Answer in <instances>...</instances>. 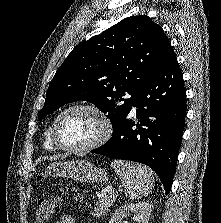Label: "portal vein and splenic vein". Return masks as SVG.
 <instances>
[{"instance_id":"obj_1","label":"portal vein and splenic vein","mask_w":221,"mask_h":223,"mask_svg":"<svg viewBox=\"0 0 221 223\" xmlns=\"http://www.w3.org/2000/svg\"><path fill=\"white\" fill-rule=\"evenodd\" d=\"M106 192H108V193H114V189L113 188H108V189H106L104 191V193H106Z\"/></svg>"}]
</instances>
